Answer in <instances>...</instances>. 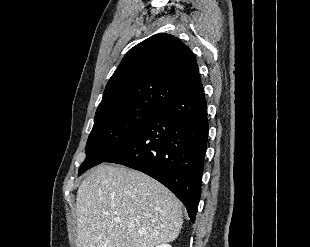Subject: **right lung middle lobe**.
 <instances>
[{
    "instance_id": "1",
    "label": "right lung middle lobe",
    "mask_w": 310,
    "mask_h": 247,
    "mask_svg": "<svg viewBox=\"0 0 310 247\" xmlns=\"http://www.w3.org/2000/svg\"><path fill=\"white\" fill-rule=\"evenodd\" d=\"M159 109L136 106L96 116L79 175L122 148Z\"/></svg>"
}]
</instances>
